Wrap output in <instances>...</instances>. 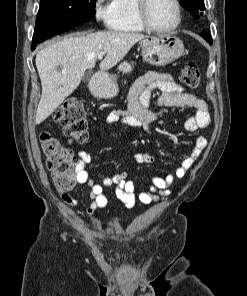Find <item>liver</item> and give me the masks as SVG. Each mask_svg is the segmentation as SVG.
<instances>
[{"mask_svg": "<svg viewBox=\"0 0 247 296\" xmlns=\"http://www.w3.org/2000/svg\"><path fill=\"white\" fill-rule=\"evenodd\" d=\"M145 37L139 33L99 31L64 38L41 49L35 59L42 86L35 123H42L74 92L85 71L95 66L98 54H106L99 64L101 73L114 67Z\"/></svg>", "mask_w": 247, "mask_h": 296, "instance_id": "6515ba94", "label": "liver"}]
</instances>
